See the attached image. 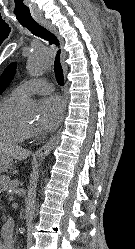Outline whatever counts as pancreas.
I'll list each match as a JSON object with an SVG mask.
<instances>
[{"label": "pancreas", "instance_id": "cf45deb5", "mask_svg": "<svg viewBox=\"0 0 135 249\" xmlns=\"http://www.w3.org/2000/svg\"><path fill=\"white\" fill-rule=\"evenodd\" d=\"M19 185V182L18 180H13L9 183L8 186H6V189H12V190H15L16 187Z\"/></svg>", "mask_w": 135, "mask_h": 249}]
</instances>
